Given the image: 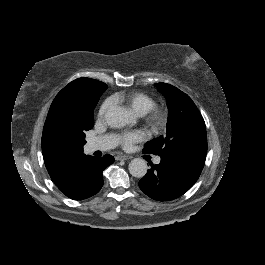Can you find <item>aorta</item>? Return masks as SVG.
I'll return each mask as SVG.
<instances>
[{"instance_id": "aorta-1", "label": "aorta", "mask_w": 265, "mask_h": 265, "mask_svg": "<svg viewBox=\"0 0 265 265\" xmlns=\"http://www.w3.org/2000/svg\"><path fill=\"white\" fill-rule=\"evenodd\" d=\"M107 124L113 128L123 127L130 123L127 112L122 107H114L105 114ZM129 172L132 176L142 178L147 172V164L141 158H134L129 163Z\"/></svg>"}]
</instances>
